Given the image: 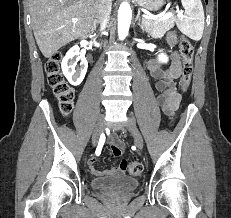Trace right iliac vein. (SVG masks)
<instances>
[{
  "instance_id": "1",
  "label": "right iliac vein",
  "mask_w": 231,
  "mask_h": 218,
  "mask_svg": "<svg viewBox=\"0 0 231 218\" xmlns=\"http://www.w3.org/2000/svg\"><path fill=\"white\" fill-rule=\"evenodd\" d=\"M103 130H104V119L100 118L97 122L94 133L92 135V145L93 146L97 145Z\"/></svg>"
}]
</instances>
